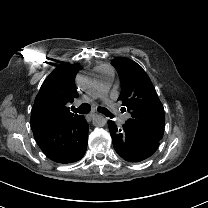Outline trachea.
I'll return each mask as SVG.
<instances>
[{"label":"trachea","mask_w":208,"mask_h":208,"mask_svg":"<svg viewBox=\"0 0 208 208\" xmlns=\"http://www.w3.org/2000/svg\"><path fill=\"white\" fill-rule=\"evenodd\" d=\"M90 110L91 107L87 103L81 104L78 108L72 107V111L79 114H87L90 112ZM98 111L107 117H114V115L111 112H109L106 108H98Z\"/></svg>","instance_id":"trachea-1"}]
</instances>
